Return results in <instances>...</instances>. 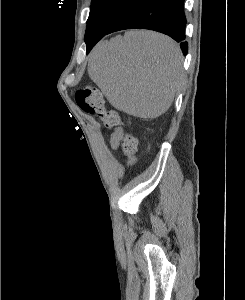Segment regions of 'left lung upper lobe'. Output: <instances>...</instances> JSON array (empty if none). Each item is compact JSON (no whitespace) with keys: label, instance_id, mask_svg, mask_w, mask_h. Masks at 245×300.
Returning a JSON list of instances; mask_svg holds the SVG:
<instances>
[{"label":"left lung upper lobe","instance_id":"5c2ea615","mask_svg":"<svg viewBox=\"0 0 245 300\" xmlns=\"http://www.w3.org/2000/svg\"><path fill=\"white\" fill-rule=\"evenodd\" d=\"M138 0H92L85 42L92 32L105 33L113 22Z\"/></svg>","mask_w":245,"mask_h":300}]
</instances>
